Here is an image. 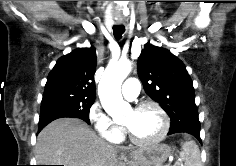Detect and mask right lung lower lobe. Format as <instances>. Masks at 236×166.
<instances>
[{
    "instance_id": "right-lung-lower-lobe-1",
    "label": "right lung lower lobe",
    "mask_w": 236,
    "mask_h": 166,
    "mask_svg": "<svg viewBox=\"0 0 236 166\" xmlns=\"http://www.w3.org/2000/svg\"><path fill=\"white\" fill-rule=\"evenodd\" d=\"M47 124H42V125H39V131H41L43 129V127H45Z\"/></svg>"
}]
</instances>
